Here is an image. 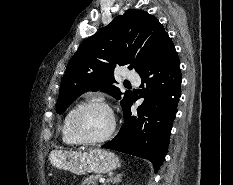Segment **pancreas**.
I'll list each match as a JSON object with an SVG mask.
<instances>
[{"label":"pancreas","mask_w":233,"mask_h":185,"mask_svg":"<svg viewBox=\"0 0 233 185\" xmlns=\"http://www.w3.org/2000/svg\"><path fill=\"white\" fill-rule=\"evenodd\" d=\"M100 175H90L83 180L81 185H97L96 181L100 178Z\"/></svg>","instance_id":"1"}]
</instances>
